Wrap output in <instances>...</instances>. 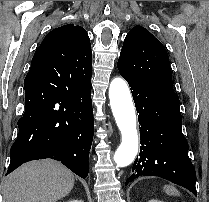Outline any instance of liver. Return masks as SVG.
Listing matches in <instances>:
<instances>
[{
	"mask_svg": "<svg viewBox=\"0 0 209 202\" xmlns=\"http://www.w3.org/2000/svg\"><path fill=\"white\" fill-rule=\"evenodd\" d=\"M73 173L53 160L22 165L5 179L3 202H56L74 187Z\"/></svg>",
	"mask_w": 209,
	"mask_h": 202,
	"instance_id": "1",
	"label": "liver"
}]
</instances>
